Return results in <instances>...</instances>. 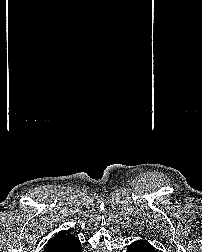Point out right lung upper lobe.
Instances as JSON below:
<instances>
[{"label": "right lung upper lobe", "instance_id": "obj_1", "mask_svg": "<svg viewBox=\"0 0 202 252\" xmlns=\"http://www.w3.org/2000/svg\"><path fill=\"white\" fill-rule=\"evenodd\" d=\"M79 242L69 231L62 230L48 242L44 252H72Z\"/></svg>", "mask_w": 202, "mask_h": 252}]
</instances>
